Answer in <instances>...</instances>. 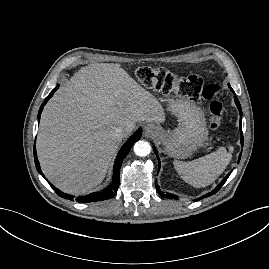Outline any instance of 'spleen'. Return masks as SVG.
Masks as SVG:
<instances>
[{
  "mask_svg": "<svg viewBox=\"0 0 269 269\" xmlns=\"http://www.w3.org/2000/svg\"><path fill=\"white\" fill-rule=\"evenodd\" d=\"M234 148L220 147L216 151L189 162L174 160L173 164L180 177L188 184L206 187L213 183L226 169L232 159Z\"/></svg>",
  "mask_w": 269,
  "mask_h": 269,
  "instance_id": "obj_1",
  "label": "spleen"
}]
</instances>
